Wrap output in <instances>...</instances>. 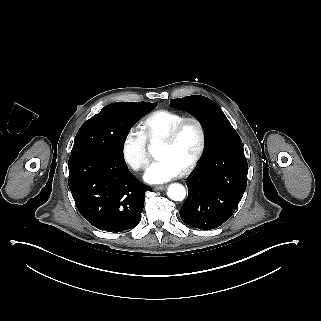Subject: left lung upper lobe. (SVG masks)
<instances>
[{
    "mask_svg": "<svg viewBox=\"0 0 321 321\" xmlns=\"http://www.w3.org/2000/svg\"><path fill=\"white\" fill-rule=\"evenodd\" d=\"M170 105L189 112L201 123L205 132L204 155L224 141L240 139L220 107L207 97L191 95L172 99Z\"/></svg>",
    "mask_w": 321,
    "mask_h": 321,
    "instance_id": "1",
    "label": "left lung upper lobe"
}]
</instances>
